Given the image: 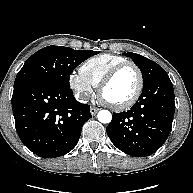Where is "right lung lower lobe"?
<instances>
[{
	"mask_svg": "<svg viewBox=\"0 0 193 193\" xmlns=\"http://www.w3.org/2000/svg\"><path fill=\"white\" fill-rule=\"evenodd\" d=\"M90 106L79 103L70 87L29 81L14 87L12 109L23 144L42 158L70 152L78 143Z\"/></svg>",
	"mask_w": 193,
	"mask_h": 193,
	"instance_id": "98d812e1",
	"label": "right lung lower lobe"
}]
</instances>
